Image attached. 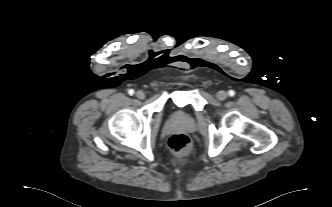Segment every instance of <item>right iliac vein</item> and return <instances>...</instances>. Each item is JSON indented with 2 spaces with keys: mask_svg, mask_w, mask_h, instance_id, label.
I'll return each mask as SVG.
<instances>
[{
  "mask_svg": "<svg viewBox=\"0 0 332 207\" xmlns=\"http://www.w3.org/2000/svg\"><path fill=\"white\" fill-rule=\"evenodd\" d=\"M136 97L138 99H144L145 98V93L143 91L139 90V91L136 92Z\"/></svg>",
  "mask_w": 332,
  "mask_h": 207,
  "instance_id": "right-iliac-vein-1",
  "label": "right iliac vein"
}]
</instances>
